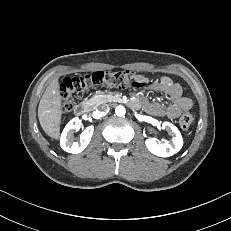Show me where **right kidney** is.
<instances>
[{
    "mask_svg": "<svg viewBox=\"0 0 231 231\" xmlns=\"http://www.w3.org/2000/svg\"><path fill=\"white\" fill-rule=\"evenodd\" d=\"M79 119L73 118L65 126L60 139L61 148L69 153L78 154L81 153L89 144L93 135L94 127L89 126L84 129L78 142H74L73 134L79 130Z\"/></svg>",
    "mask_w": 231,
    "mask_h": 231,
    "instance_id": "obj_1",
    "label": "right kidney"
}]
</instances>
